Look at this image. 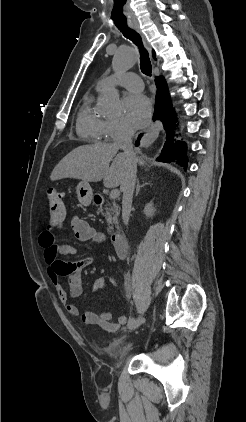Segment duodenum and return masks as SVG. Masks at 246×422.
<instances>
[{"label":"duodenum","mask_w":246,"mask_h":422,"mask_svg":"<svg viewBox=\"0 0 246 422\" xmlns=\"http://www.w3.org/2000/svg\"><path fill=\"white\" fill-rule=\"evenodd\" d=\"M110 240L117 256L119 258L125 257L127 254V243H126L124 235L121 232L116 231L111 234Z\"/></svg>","instance_id":"duodenum-1"}]
</instances>
